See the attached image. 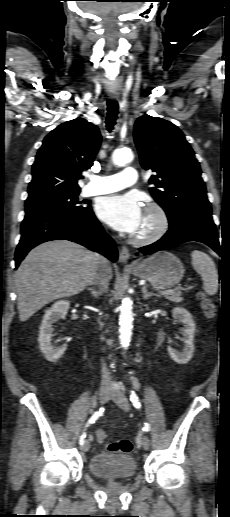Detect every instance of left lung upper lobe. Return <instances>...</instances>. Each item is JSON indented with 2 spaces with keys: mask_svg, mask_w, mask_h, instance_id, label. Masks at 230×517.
<instances>
[{
  "mask_svg": "<svg viewBox=\"0 0 230 517\" xmlns=\"http://www.w3.org/2000/svg\"><path fill=\"white\" fill-rule=\"evenodd\" d=\"M134 140L141 165L152 169L151 195L165 210L170 226L186 218L211 215L199 162L182 131L173 123L149 115L137 119Z\"/></svg>",
  "mask_w": 230,
  "mask_h": 517,
  "instance_id": "1",
  "label": "left lung upper lobe"
}]
</instances>
